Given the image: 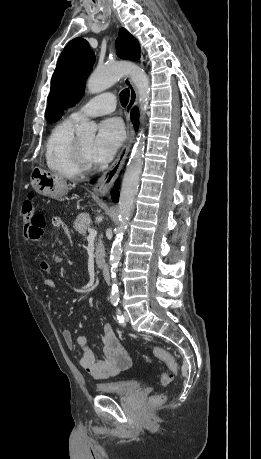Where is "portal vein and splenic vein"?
<instances>
[{
  "label": "portal vein and splenic vein",
  "instance_id": "portal-vein-and-splenic-vein-1",
  "mask_svg": "<svg viewBox=\"0 0 261 459\" xmlns=\"http://www.w3.org/2000/svg\"><path fill=\"white\" fill-rule=\"evenodd\" d=\"M88 231H89L88 239H94L97 235V231L92 228H89Z\"/></svg>",
  "mask_w": 261,
  "mask_h": 459
}]
</instances>
